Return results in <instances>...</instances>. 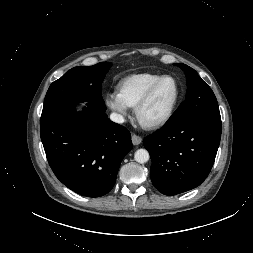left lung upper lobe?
<instances>
[{
  "mask_svg": "<svg viewBox=\"0 0 253 253\" xmlns=\"http://www.w3.org/2000/svg\"><path fill=\"white\" fill-rule=\"evenodd\" d=\"M184 70L187 78L186 100L171 116L166 125H173L196 117L221 118L213 91L197 72L185 64H175Z\"/></svg>",
  "mask_w": 253,
  "mask_h": 253,
  "instance_id": "1",
  "label": "left lung upper lobe"
}]
</instances>
